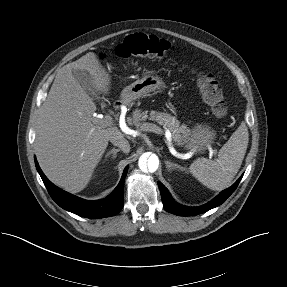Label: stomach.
Returning a JSON list of instances; mask_svg holds the SVG:
<instances>
[{"label": "stomach", "instance_id": "obj_1", "mask_svg": "<svg viewBox=\"0 0 287 287\" xmlns=\"http://www.w3.org/2000/svg\"><path fill=\"white\" fill-rule=\"evenodd\" d=\"M165 87L164 81L157 75L147 74L141 79L126 86L121 92V99L125 103H131L149 92ZM215 133L206 125H197L189 131L183 143L186 148L195 151L204 150L213 142Z\"/></svg>", "mask_w": 287, "mask_h": 287}]
</instances>
